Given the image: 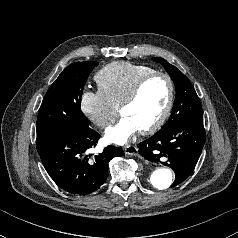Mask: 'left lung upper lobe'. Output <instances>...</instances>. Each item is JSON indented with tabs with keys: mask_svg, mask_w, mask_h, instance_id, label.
I'll list each match as a JSON object with an SVG mask.
<instances>
[{
	"mask_svg": "<svg viewBox=\"0 0 238 238\" xmlns=\"http://www.w3.org/2000/svg\"><path fill=\"white\" fill-rule=\"evenodd\" d=\"M153 60L163 65L176 88V98L171 116L161 129H167L182 121L203 120L199 98L189 79L178 68L163 58L157 57Z\"/></svg>",
	"mask_w": 238,
	"mask_h": 238,
	"instance_id": "obj_1",
	"label": "left lung upper lobe"
}]
</instances>
